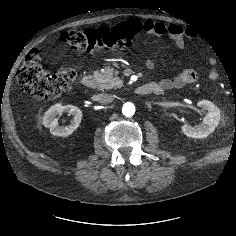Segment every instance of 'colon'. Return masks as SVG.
Returning <instances> with one entry per match:
<instances>
[{"mask_svg":"<svg viewBox=\"0 0 236 236\" xmlns=\"http://www.w3.org/2000/svg\"><path fill=\"white\" fill-rule=\"evenodd\" d=\"M141 24L127 20L110 27H97L84 31H67L60 40L74 50L88 54L103 49L129 47ZM78 78L74 66L49 71L37 50H32L17 73V81L22 89L39 99L52 100L69 91Z\"/></svg>","mask_w":236,"mask_h":236,"instance_id":"obj_1","label":"colon"}]
</instances>
